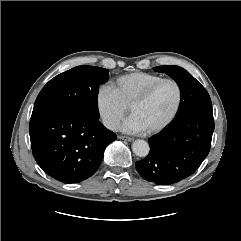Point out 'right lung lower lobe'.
Returning a JSON list of instances; mask_svg holds the SVG:
<instances>
[{
    "label": "right lung lower lobe",
    "mask_w": 241,
    "mask_h": 241,
    "mask_svg": "<svg viewBox=\"0 0 241 241\" xmlns=\"http://www.w3.org/2000/svg\"><path fill=\"white\" fill-rule=\"evenodd\" d=\"M29 133L38 165L63 183H78L92 176L106 146L116 139L98 119L73 111L31 116Z\"/></svg>",
    "instance_id": "right-lung-lower-lobe-1"
}]
</instances>
